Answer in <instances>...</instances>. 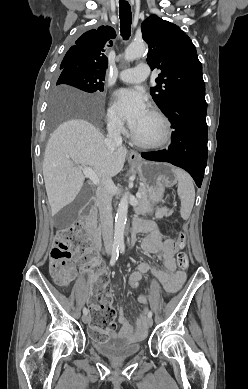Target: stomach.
Instances as JSON below:
<instances>
[{
	"mask_svg": "<svg viewBox=\"0 0 248 389\" xmlns=\"http://www.w3.org/2000/svg\"><path fill=\"white\" fill-rule=\"evenodd\" d=\"M131 164L137 169L152 203L159 202L165 188L173 186L176 182L177 170L171 164L145 160L131 162Z\"/></svg>",
	"mask_w": 248,
	"mask_h": 389,
	"instance_id": "0dacf381",
	"label": "stomach"
}]
</instances>
